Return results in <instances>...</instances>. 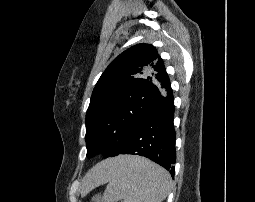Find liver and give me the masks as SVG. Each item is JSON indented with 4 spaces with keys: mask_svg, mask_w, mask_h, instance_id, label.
<instances>
[{
    "mask_svg": "<svg viewBox=\"0 0 255 202\" xmlns=\"http://www.w3.org/2000/svg\"><path fill=\"white\" fill-rule=\"evenodd\" d=\"M124 157L119 156L116 158L105 160L98 165H96L93 169H91L83 179V187L85 191L92 189L93 187L104 182L105 171L104 166L118 163Z\"/></svg>",
    "mask_w": 255,
    "mask_h": 202,
    "instance_id": "liver-1",
    "label": "liver"
}]
</instances>
